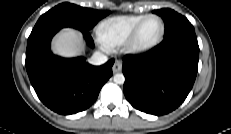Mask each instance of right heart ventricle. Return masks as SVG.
<instances>
[{
	"instance_id": "e07e8e85",
	"label": "right heart ventricle",
	"mask_w": 231,
	"mask_h": 134,
	"mask_svg": "<svg viewBox=\"0 0 231 134\" xmlns=\"http://www.w3.org/2000/svg\"><path fill=\"white\" fill-rule=\"evenodd\" d=\"M146 15H122L110 17L97 27L100 41L109 48L123 45L131 35L135 26Z\"/></svg>"
}]
</instances>
